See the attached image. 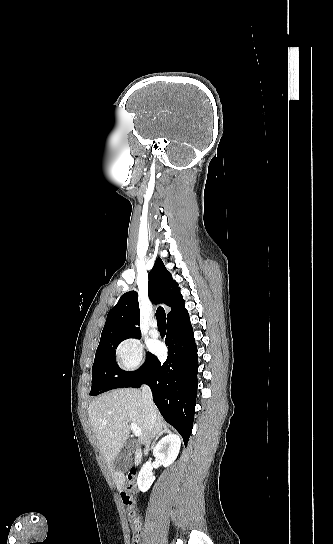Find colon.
Returning <instances> with one entry per match:
<instances>
[{
    "mask_svg": "<svg viewBox=\"0 0 333 544\" xmlns=\"http://www.w3.org/2000/svg\"><path fill=\"white\" fill-rule=\"evenodd\" d=\"M123 504L127 508L132 529L131 544H141L143 527L137 510V488L133 476H130L124 491L121 494Z\"/></svg>",
    "mask_w": 333,
    "mask_h": 544,
    "instance_id": "obj_1",
    "label": "colon"
}]
</instances>
